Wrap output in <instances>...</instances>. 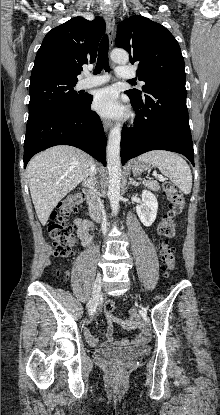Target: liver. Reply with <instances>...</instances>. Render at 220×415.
<instances>
[{
	"instance_id": "1",
	"label": "liver",
	"mask_w": 220,
	"mask_h": 415,
	"mask_svg": "<svg viewBox=\"0 0 220 415\" xmlns=\"http://www.w3.org/2000/svg\"><path fill=\"white\" fill-rule=\"evenodd\" d=\"M91 157L81 150L60 145L34 156L27 166L32 201L45 225L56 205L89 176Z\"/></svg>"
}]
</instances>
